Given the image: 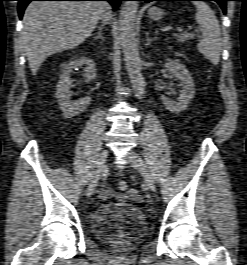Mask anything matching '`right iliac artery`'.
<instances>
[{
	"label": "right iliac artery",
	"instance_id": "right-iliac-artery-1",
	"mask_svg": "<svg viewBox=\"0 0 247 265\" xmlns=\"http://www.w3.org/2000/svg\"><path fill=\"white\" fill-rule=\"evenodd\" d=\"M98 179H99V177H97V176H93V177H92V180H91V181H92V184H95V185H96Z\"/></svg>",
	"mask_w": 247,
	"mask_h": 265
}]
</instances>
